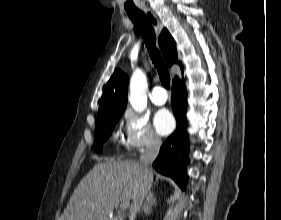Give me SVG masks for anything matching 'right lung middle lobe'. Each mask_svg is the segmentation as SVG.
<instances>
[{
    "instance_id": "dd1d6c3e",
    "label": "right lung middle lobe",
    "mask_w": 281,
    "mask_h": 220,
    "mask_svg": "<svg viewBox=\"0 0 281 220\" xmlns=\"http://www.w3.org/2000/svg\"><path fill=\"white\" fill-rule=\"evenodd\" d=\"M120 117L121 115L110 116L96 122L94 146L97 152L102 151V144L109 138Z\"/></svg>"
}]
</instances>
